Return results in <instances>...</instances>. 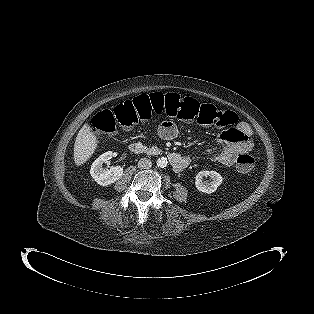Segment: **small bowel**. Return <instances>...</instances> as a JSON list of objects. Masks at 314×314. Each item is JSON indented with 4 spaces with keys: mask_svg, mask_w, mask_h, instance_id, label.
Returning <instances> with one entry per match:
<instances>
[{
    "mask_svg": "<svg viewBox=\"0 0 314 314\" xmlns=\"http://www.w3.org/2000/svg\"><path fill=\"white\" fill-rule=\"evenodd\" d=\"M228 112L231 115L229 125L235 124L237 122L236 114L232 111ZM178 132V126L171 120L163 121L158 127V135L164 140L174 139ZM251 133L250 126L245 122H239L236 127L223 131L217 137L220 150L211 155V159L226 166L234 165L240 154L251 151L253 147Z\"/></svg>",
    "mask_w": 314,
    "mask_h": 314,
    "instance_id": "c3829d8e",
    "label": "small bowel"
}]
</instances>
